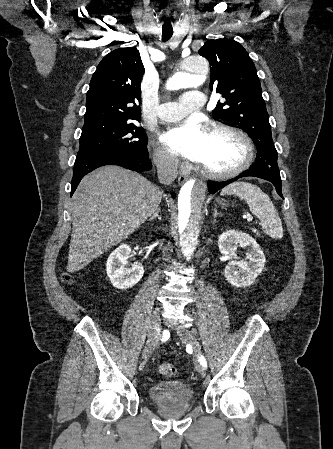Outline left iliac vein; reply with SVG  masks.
<instances>
[{
    "instance_id": "obj_1",
    "label": "left iliac vein",
    "mask_w": 333,
    "mask_h": 449,
    "mask_svg": "<svg viewBox=\"0 0 333 449\" xmlns=\"http://www.w3.org/2000/svg\"><path fill=\"white\" fill-rule=\"evenodd\" d=\"M177 333L183 342L191 345L196 357V366H195L196 371L198 372V374L203 375L205 373V369L199 361V356L201 354V346L197 337L191 330L183 327H179L177 329Z\"/></svg>"
}]
</instances>
